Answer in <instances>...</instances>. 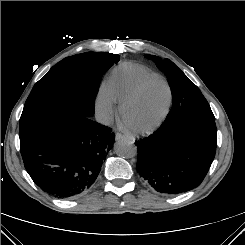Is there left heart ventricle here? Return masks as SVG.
<instances>
[{
  "label": "left heart ventricle",
  "instance_id": "b2bd125f",
  "mask_svg": "<svg viewBox=\"0 0 245 245\" xmlns=\"http://www.w3.org/2000/svg\"><path fill=\"white\" fill-rule=\"evenodd\" d=\"M167 98V89L162 83H151L145 88L140 98L126 109L127 123L136 127L152 124L162 114Z\"/></svg>",
  "mask_w": 245,
  "mask_h": 245
}]
</instances>
